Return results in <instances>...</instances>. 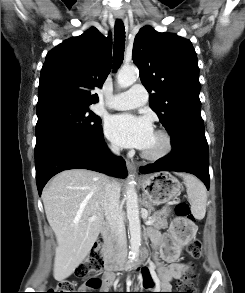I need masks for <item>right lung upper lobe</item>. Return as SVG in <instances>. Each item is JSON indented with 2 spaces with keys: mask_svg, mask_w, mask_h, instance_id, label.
I'll return each instance as SVG.
<instances>
[{
  "mask_svg": "<svg viewBox=\"0 0 245 293\" xmlns=\"http://www.w3.org/2000/svg\"><path fill=\"white\" fill-rule=\"evenodd\" d=\"M111 54V36L104 37L95 27L49 51L40 74L37 108L98 102L91 90L102 87L110 73Z\"/></svg>",
  "mask_w": 245,
  "mask_h": 293,
  "instance_id": "obj_1",
  "label": "right lung upper lobe"
}]
</instances>
